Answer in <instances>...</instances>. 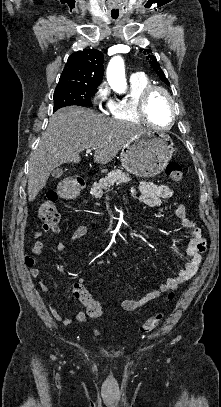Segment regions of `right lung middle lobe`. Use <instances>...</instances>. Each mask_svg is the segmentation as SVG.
<instances>
[{"mask_svg":"<svg viewBox=\"0 0 221 407\" xmlns=\"http://www.w3.org/2000/svg\"><path fill=\"white\" fill-rule=\"evenodd\" d=\"M97 87L65 86L58 87L54 92V111L64 106L78 105L91 107V95Z\"/></svg>","mask_w":221,"mask_h":407,"instance_id":"obj_1","label":"right lung middle lobe"}]
</instances>
